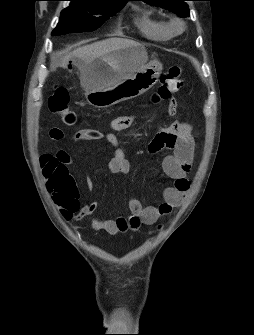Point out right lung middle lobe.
<instances>
[{"mask_svg":"<svg viewBox=\"0 0 254 335\" xmlns=\"http://www.w3.org/2000/svg\"><path fill=\"white\" fill-rule=\"evenodd\" d=\"M70 1V6L61 12L59 23L52 32V36L95 30L125 5L86 0Z\"/></svg>","mask_w":254,"mask_h":335,"instance_id":"dd1d6c3e","label":"right lung middle lobe"}]
</instances>
